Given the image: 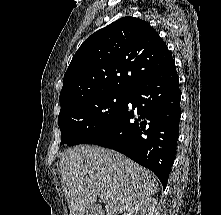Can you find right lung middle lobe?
<instances>
[{
	"label": "right lung middle lobe",
	"instance_id": "dd1d6c3e",
	"mask_svg": "<svg viewBox=\"0 0 221 215\" xmlns=\"http://www.w3.org/2000/svg\"><path fill=\"white\" fill-rule=\"evenodd\" d=\"M126 101V93H107L62 108L58 117L61 144H85L105 134L121 116Z\"/></svg>",
	"mask_w": 221,
	"mask_h": 215
}]
</instances>
